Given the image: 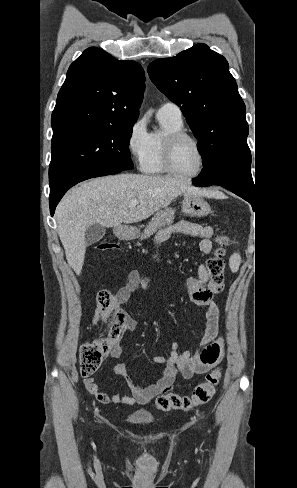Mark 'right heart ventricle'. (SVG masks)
Returning <instances> with one entry per match:
<instances>
[{
	"instance_id": "1",
	"label": "right heart ventricle",
	"mask_w": 297,
	"mask_h": 488,
	"mask_svg": "<svg viewBox=\"0 0 297 488\" xmlns=\"http://www.w3.org/2000/svg\"><path fill=\"white\" fill-rule=\"evenodd\" d=\"M164 132L161 134H149V146L146 159L141 166L142 170L150 174H165L166 170L162 163V149L164 138L175 132L183 130V123L175 122L165 118H159Z\"/></svg>"
}]
</instances>
